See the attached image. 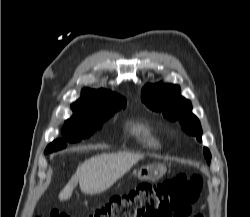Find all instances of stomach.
Returning <instances> with one entry per match:
<instances>
[{"label":"stomach","instance_id":"0dacf381","mask_svg":"<svg viewBox=\"0 0 250 217\" xmlns=\"http://www.w3.org/2000/svg\"><path fill=\"white\" fill-rule=\"evenodd\" d=\"M167 168L163 164L153 163L142 167L138 171V178L140 180L156 181L163 177Z\"/></svg>","mask_w":250,"mask_h":217}]
</instances>
